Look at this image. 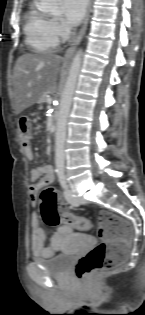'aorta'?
Instances as JSON below:
<instances>
[{"mask_svg":"<svg viewBox=\"0 0 145 315\" xmlns=\"http://www.w3.org/2000/svg\"><path fill=\"white\" fill-rule=\"evenodd\" d=\"M39 9L44 13H59L58 0H40ZM82 49L75 54L68 72V77L61 95L55 133V166L58 175L64 174L67 119L70 113L77 78L81 67Z\"/></svg>","mask_w":145,"mask_h":315,"instance_id":"obj_1","label":"aorta"}]
</instances>
